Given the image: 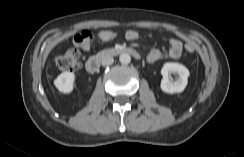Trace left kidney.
I'll return each mask as SVG.
<instances>
[{
    "label": "left kidney",
    "mask_w": 244,
    "mask_h": 157,
    "mask_svg": "<svg viewBox=\"0 0 244 157\" xmlns=\"http://www.w3.org/2000/svg\"><path fill=\"white\" fill-rule=\"evenodd\" d=\"M163 79L161 80V89L163 92L174 94L181 93L187 86L189 70L182 64L176 62H167L161 69ZM170 74H177L179 77L176 81L169 80Z\"/></svg>",
    "instance_id": "obj_1"
}]
</instances>
